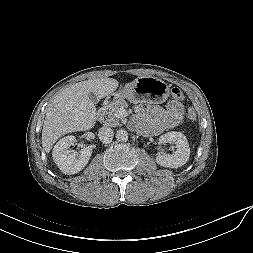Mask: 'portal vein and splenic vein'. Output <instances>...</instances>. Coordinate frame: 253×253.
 Here are the masks:
<instances>
[{
  "instance_id": "18ae733b",
  "label": "portal vein and splenic vein",
  "mask_w": 253,
  "mask_h": 253,
  "mask_svg": "<svg viewBox=\"0 0 253 253\" xmlns=\"http://www.w3.org/2000/svg\"><path fill=\"white\" fill-rule=\"evenodd\" d=\"M124 110H120L119 112H118V116H123V114H124Z\"/></svg>"
}]
</instances>
